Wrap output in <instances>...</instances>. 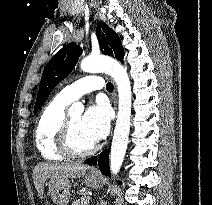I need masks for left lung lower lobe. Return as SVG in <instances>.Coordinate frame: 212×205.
<instances>
[{"label": "left lung lower lobe", "instance_id": "0a47b994", "mask_svg": "<svg viewBox=\"0 0 212 205\" xmlns=\"http://www.w3.org/2000/svg\"><path fill=\"white\" fill-rule=\"evenodd\" d=\"M98 162L100 171L110 177V169H109V154L108 150H104L100 155L99 158L92 157L85 161L86 164L89 165H96Z\"/></svg>", "mask_w": 212, "mask_h": 205}]
</instances>
